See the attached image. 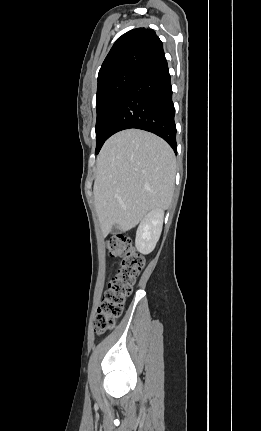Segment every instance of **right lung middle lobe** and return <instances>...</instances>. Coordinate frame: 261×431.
I'll return each instance as SVG.
<instances>
[{
    "mask_svg": "<svg viewBox=\"0 0 261 431\" xmlns=\"http://www.w3.org/2000/svg\"><path fill=\"white\" fill-rule=\"evenodd\" d=\"M139 70L123 72L98 85L96 96V154L110 137V126Z\"/></svg>",
    "mask_w": 261,
    "mask_h": 431,
    "instance_id": "obj_1",
    "label": "right lung middle lobe"
}]
</instances>
